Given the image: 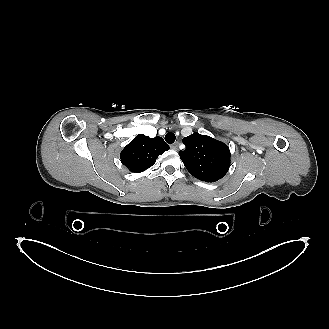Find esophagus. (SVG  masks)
Returning a JSON list of instances; mask_svg holds the SVG:
<instances>
[{
    "label": "esophagus",
    "instance_id": "1",
    "mask_svg": "<svg viewBox=\"0 0 329 329\" xmlns=\"http://www.w3.org/2000/svg\"><path fill=\"white\" fill-rule=\"evenodd\" d=\"M170 148L174 151H177L178 150V143L171 144Z\"/></svg>",
    "mask_w": 329,
    "mask_h": 329
}]
</instances>
